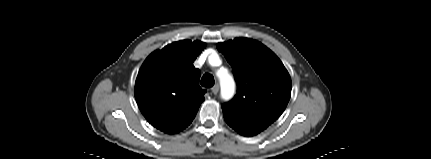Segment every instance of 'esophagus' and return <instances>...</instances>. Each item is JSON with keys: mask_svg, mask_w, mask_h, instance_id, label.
<instances>
[{"mask_svg": "<svg viewBox=\"0 0 431 159\" xmlns=\"http://www.w3.org/2000/svg\"><path fill=\"white\" fill-rule=\"evenodd\" d=\"M219 91V85L216 84L212 89H211V94L216 95Z\"/></svg>", "mask_w": 431, "mask_h": 159, "instance_id": "1", "label": "esophagus"}]
</instances>
